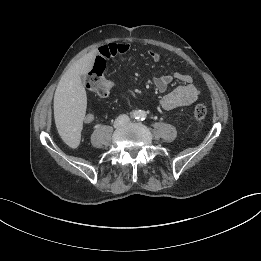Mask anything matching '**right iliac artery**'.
Returning a JSON list of instances; mask_svg holds the SVG:
<instances>
[{"instance_id": "82829eb1", "label": "right iliac artery", "mask_w": 261, "mask_h": 261, "mask_svg": "<svg viewBox=\"0 0 261 261\" xmlns=\"http://www.w3.org/2000/svg\"><path fill=\"white\" fill-rule=\"evenodd\" d=\"M139 116L138 112L134 111L131 113V117L134 118V119H137Z\"/></svg>"}]
</instances>
